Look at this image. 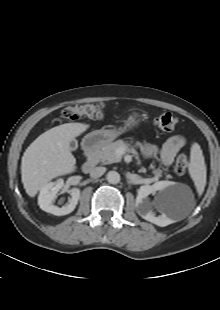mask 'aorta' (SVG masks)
Instances as JSON below:
<instances>
[{
  "label": "aorta",
  "instance_id": "aorta-1",
  "mask_svg": "<svg viewBox=\"0 0 220 310\" xmlns=\"http://www.w3.org/2000/svg\"><path fill=\"white\" fill-rule=\"evenodd\" d=\"M107 181L110 184H118L120 182V174L116 171H109L107 174Z\"/></svg>",
  "mask_w": 220,
  "mask_h": 310
}]
</instances>
